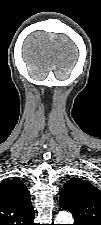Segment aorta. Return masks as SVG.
<instances>
[{"mask_svg":"<svg viewBox=\"0 0 101 225\" xmlns=\"http://www.w3.org/2000/svg\"><path fill=\"white\" fill-rule=\"evenodd\" d=\"M72 215L67 211H61L55 219V224H73Z\"/></svg>","mask_w":101,"mask_h":225,"instance_id":"762f6f07","label":"aorta"}]
</instances>
